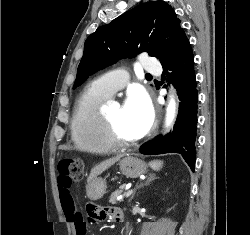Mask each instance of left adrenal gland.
Here are the masks:
<instances>
[{"mask_svg":"<svg viewBox=\"0 0 250 235\" xmlns=\"http://www.w3.org/2000/svg\"><path fill=\"white\" fill-rule=\"evenodd\" d=\"M157 178H158V177H156L154 174H149V176H148L146 182L143 183V184H140L139 186H137L136 189L141 188V187H143V186L149 184L151 181H153V180H155V179H157ZM135 193H136V190L134 191V193L132 194L131 198L129 199V202L134 198Z\"/></svg>","mask_w":250,"mask_h":235,"instance_id":"a2214340","label":"left adrenal gland"}]
</instances>
